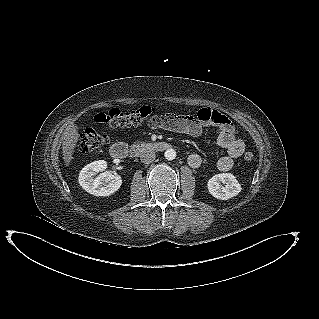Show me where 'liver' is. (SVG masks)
Listing matches in <instances>:
<instances>
[{"label":"liver","instance_id":"obj_1","mask_svg":"<svg viewBox=\"0 0 319 319\" xmlns=\"http://www.w3.org/2000/svg\"><path fill=\"white\" fill-rule=\"evenodd\" d=\"M78 128L74 124L69 125L62 136L63 160L66 166H69L73 159L74 149L78 142Z\"/></svg>","mask_w":319,"mask_h":319}]
</instances>
